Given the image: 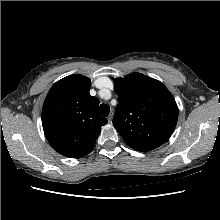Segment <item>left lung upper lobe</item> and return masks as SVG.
Returning <instances> with one entry per match:
<instances>
[{
	"mask_svg": "<svg viewBox=\"0 0 220 220\" xmlns=\"http://www.w3.org/2000/svg\"><path fill=\"white\" fill-rule=\"evenodd\" d=\"M113 81L119 99L113 125L125 143L141 152L165 143L178 119V107L169 90L160 81L140 73Z\"/></svg>",
	"mask_w": 220,
	"mask_h": 220,
	"instance_id": "left-lung-upper-lobe-1",
	"label": "left lung upper lobe"
}]
</instances>
